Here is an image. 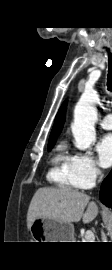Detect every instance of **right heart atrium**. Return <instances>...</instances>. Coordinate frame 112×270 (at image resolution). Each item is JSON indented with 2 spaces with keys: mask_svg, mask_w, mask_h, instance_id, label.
<instances>
[{
  "mask_svg": "<svg viewBox=\"0 0 112 270\" xmlns=\"http://www.w3.org/2000/svg\"><path fill=\"white\" fill-rule=\"evenodd\" d=\"M72 166L80 189L92 187L102 174L97 161L89 153H75L72 156Z\"/></svg>",
  "mask_w": 112,
  "mask_h": 270,
  "instance_id": "1",
  "label": "right heart atrium"
}]
</instances>
